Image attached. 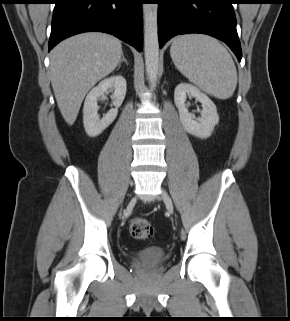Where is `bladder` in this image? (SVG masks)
I'll return each instance as SVG.
<instances>
[{"instance_id": "31cf9c89", "label": "bladder", "mask_w": 290, "mask_h": 321, "mask_svg": "<svg viewBox=\"0 0 290 321\" xmlns=\"http://www.w3.org/2000/svg\"><path fill=\"white\" fill-rule=\"evenodd\" d=\"M167 251L158 246H147L132 256L133 260L142 263L160 264L167 259Z\"/></svg>"}]
</instances>
